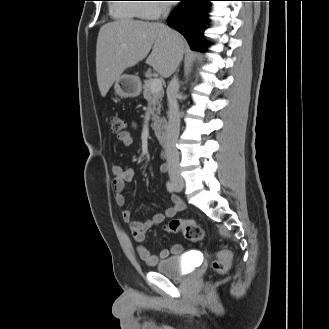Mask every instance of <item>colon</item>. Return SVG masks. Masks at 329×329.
I'll return each mask as SVG.
<instances>
[{
    "label": "colon",
    "mask_w": 329,
    "mask_h": 329,
    "mask_svg": "<svg viewBox=\"0 0 329 329\" xmlns=\"http://www.w3.org/2000/svg\"><path fill=\"white\" fill-rule=\"evenodd\" d=\"M126 121L123 117L114 114L110 118V131L114 135L125 132ZM164 229L169 233L181 232L187 240L202 242L204 239L203 229L194 220L171 219L165 224ZM213 269L218 274H226L231 266V253L221 250L217 253L212 263Z\"/></svg>",
    "instance_id": "1"
}]
</instances>
